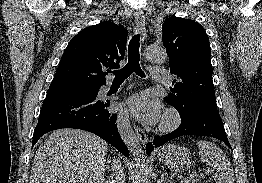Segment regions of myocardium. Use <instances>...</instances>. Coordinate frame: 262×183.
<instances>
[{
	"mask_svg": "<svg viewBox=\"0 0 262 183\" xmlns=\"http://www.w3.org/2000/svg\"><path fill=\"white\" fill-rule=\"evenodd\" d=\"M182 118L179 111L173 107L167 108L161 118L159 123L160 132H171L179 127L181 124Z\"/></svg>",
	"mask_w": 262,
	"mask_h": 183,
	"instance_id": "obj_1",
	"label": "myocardium"
}]
</instances>
